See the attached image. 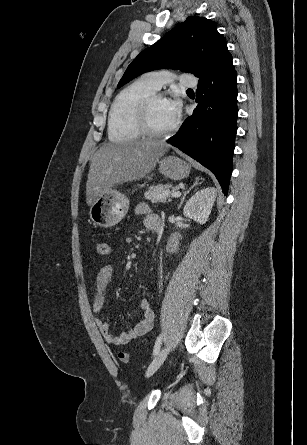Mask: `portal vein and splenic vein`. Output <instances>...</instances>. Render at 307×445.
Segmentation results:
<instances>
[{"instance_id": "obj_1", "label": "portal vein and splenic vein", "mask_w": 307, "mask_h": 445, "mask_svg": "<svg viewBox=\"0 0 307 445\" xmlns=\"http://www.w3.org/2000/svg\"><path fill=\"white\" fill-rule=\"evenodd\" d=\"M180 194H181V192H179V190H178V192H172L171 196H180Z\"/></svg>"}]
</instances>
